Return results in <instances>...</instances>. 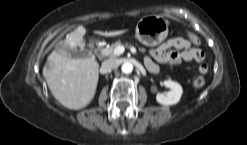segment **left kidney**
<instances>
[{"label": "left kidney", "mask_w": 247, "mask_h": 145, "mask_svg": "<svg viewBox=\"0 0 247 145\" xmlns=\"http://www.w3.org/2000/svg\"><path fill=\"white\" fill-rule=\"evenodd\" d=\"M163 84L170 89L165 95L157 94L156 100L162 105H174L177 104L183 94L182 86L172 80H165Z\"/></svg>", "instance_id": "1"}]
</instances>
